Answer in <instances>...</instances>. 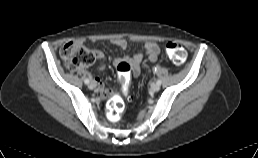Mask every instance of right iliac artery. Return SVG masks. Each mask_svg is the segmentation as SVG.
I'll return each mask as SVG.
<instances>
[{
	"mask_svg": "<svg viewBox=\"0 0 258 158\" xmlns=\"http://www.w3.org/2000/svg\"><path fill=\"white\" fill-rule=\"evenodd\" d=\"M84 82H85V84H89L90 81H89V79H85Z\"/></svg>",
	"mask_w": 258,
	"mask_h": 158,
	"instance_id": "right-iliac-artery-1",
	"label": "right iliac artery"
}]
</instances>
